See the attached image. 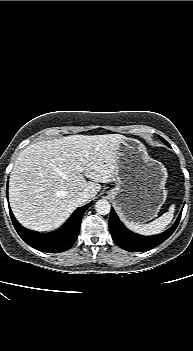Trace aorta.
<instances>
[{
	"label": "aorta",
	"mask_w": 193,
	"mask_h": 351,
	"mask_svg": "<svg viewBox=\"0 0 193 351\" xmlns=\"http://www.w3.org/2000/svg\"><path fill=\"white\" fill-rule=\"evenodd\" d=\"M111 209L110 203L105 199H100L95 204V210L100 215L109 214Z\"/></svg>",
	"instance_id": "obj_1"
}]
</instances>
